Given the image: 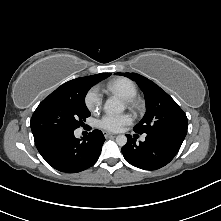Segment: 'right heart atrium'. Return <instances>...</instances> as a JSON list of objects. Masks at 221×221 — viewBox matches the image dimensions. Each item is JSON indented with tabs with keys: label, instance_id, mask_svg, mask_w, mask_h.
<instances>
[{
	"label": "right heart atrium",
	"instance_id": "d8ad5b80",
	"mask_svg": "<svg viewBox=\"0 0 221 221\" xmlns=\"http://www.w3.org/2000/svg\"><path fill=\"white\" fill-rule=\"evenodd\" d=\"M84 102L88 110L92 112L97 111L102 104V95L100 90L97 87L90 88L84 97Z\"/></svg>",
	"mask_w": 221,
	"mask_h": 221
}]
</instances>
